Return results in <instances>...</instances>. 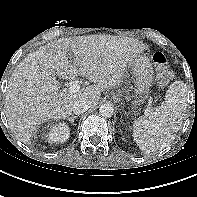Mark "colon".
I'll return each instance as SVG.
<instances>
[{
  "label": "colon",
  "instance_id": "obj_1",
  "mask_svg": "<svg viewBox=\"0 0 197 197\" xmlns=\"http://www.w3.org/2000/svg\"><path fill=\"white\" fill-rule=\"evenodd\" d=\"M152 61L156 68L158 82L166 85L172 78V72L169 68L166 56L161 52H155L152 55Z\"/></svg>",
  "mask_w": 197,
  "mask_h": 197
}]
</instances>
